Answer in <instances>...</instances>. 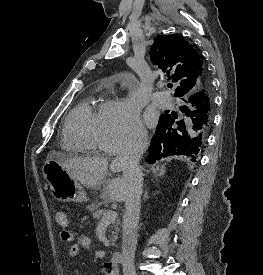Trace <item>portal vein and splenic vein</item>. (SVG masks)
<instances>
[{
  "label": "portal vein and splenic vein",
  "mask_w": 263,
  "mask_h": 275,
  "mask_svg": "<svg viewBox=\"0 0 263 275\" xmlns=\"http://www.w3.org/2000/svg\"><path fill=\"white\" fill-rule=\"evenodd\" d=\"M117 216L118 214L115 211H108L101 218L100 224H110L116 220Z\"/></svg>",
  "instance_id": "18ae733b"
}]
</instances>
